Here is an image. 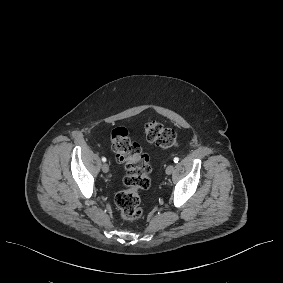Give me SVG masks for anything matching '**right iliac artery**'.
Returning <instances> with one entry per match:
<instances>
[{"label": "right iliac artery", "instance_id": "obj_1", "mask_svg": "<svg viewBox=\"0 0 283 283\" xmlns=\"http://www.w3.org/2000/svg\"><path fill=\"white\" fill-rule=\"evenodd\" d=\"M102 161H103V162H106V158H105V157H102Z\"/></svg>", "mask_w": 283, "mask_h": 283}]
</instances>
